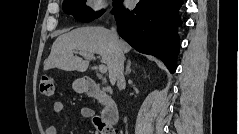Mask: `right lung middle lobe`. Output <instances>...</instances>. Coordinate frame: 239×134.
Returning a JSON list of instances; mask_svg holds the SVG:
<instances>
[{"label": "right lung middle lobe", "mask_w": 239, "mask_h": 134, "mask_svg": "<svg viewBox=\"0 0 239 134\" xmlns=\"http://www.w3.org/2000/svg\"><path fill=\"white\" fill-rule=\"evenodd\" d=\"M85 2L86 0H64L63 10L67 14L73 15L76 20L81 22L93 21L103 14V11L94 12L85 6ZM118 2L119 0H114V5Z\"/></svg>", "instance_id": "1"}]
</instances>
